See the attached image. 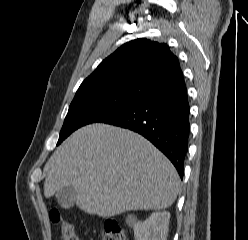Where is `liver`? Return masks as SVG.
Returning a JSON list of instances; mask_svg holds the SVG:
<instances>
[{"mask_svg":"<svg viewBox=\"0 0 248 240\" xmlns=\"http://www.w3.org/2000/svg\"><path fill=\"white\" fill-rule=\"evenodd\" d=\"M46 171V198L72 186L76 205L103 218L166 209L180 189L175 167L148 140L100 123L75 131L50 157Z\"/></svg>","mask_w":248,"mask_h":240,"instance_id":"liver-1","label":"liver"}]
</instances>
